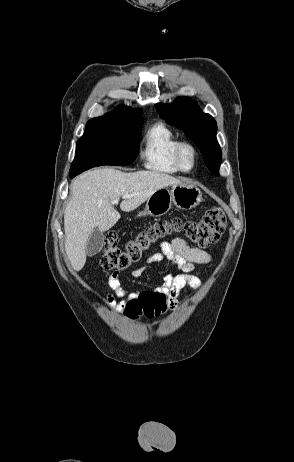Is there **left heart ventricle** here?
Segmentation results:
<instances>
[{
    "instance_id": "b2bd125f",
    "label": "left heart ventricle",
    "mask_w": 294,
    "mask_h": 462,
    "mask_svg": "<svg viewBox=\"0 0 294 462\" xmlns=\"http://www.w3.org/2000/svg\"><path fill=\"white\" fill-rule=\"evenodd\" d=\"M182 159H183V164H184L185 167H190L191 166V164H192V154H191L190 150H188V149L184 150Z\"/></svg>"
}]
</instances>
